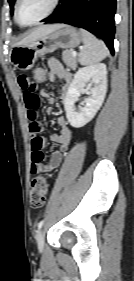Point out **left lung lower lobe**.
<instances>
[{
    "mask_svg": "<svg viewBox=\"0 0 134 281\" xmlns=\"http://www.w3.org/2000/svg\"><path fill=\"white\" fill-rule=\"evenodd\" d=\"M116 0H62L45 23H66L84 28L104 40L114 54Z\"/></svg>",
    "mask_w": 134,
    "mask_h": 281,
    "instance_id": "obj_1",
    "label": "left lung lower lobe"
}]
</instances>
